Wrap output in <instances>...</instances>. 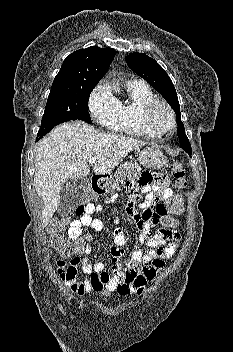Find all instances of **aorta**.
Returning <instances> with one entry per match:
<instances>
[{"instance_id": "aorta-1", "label": "aorta", "mask_w": 233, "mask_h": 352, "mask_svg": "<svg viewBox=\"0 0 233 352\" xmlns=\"http://www.w3.org/2000/svg\"><path fill=\"white\" fill-rule=\"evenodd\" d=\"M113 85H114V83H113ZM114 89L116 92H118V93L120 92V88H119L118 84L114 85Z\"/></svg>"}]
</instances>
